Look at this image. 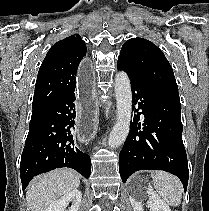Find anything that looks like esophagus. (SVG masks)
Masks as SVG:
<instances>
[{
	"label": "esophagus",
	"mask_w": 209,
	"mask_h": 211,
	"mask_svg": "<svg viewBox=\"0 0 209 211\" xmlns=\"http://www.w3.org/2000/svg\"><path fill=\"white\" fill-rule=\"evenodd\" d=\"M81 67L77 70L78 89L74 97L76 109V141H91L92 133L97 132L98 102L94 93V67L90 56H83Z\"/></svg>",
	"instance_id": "esophagus-1"
}]
</instances>
